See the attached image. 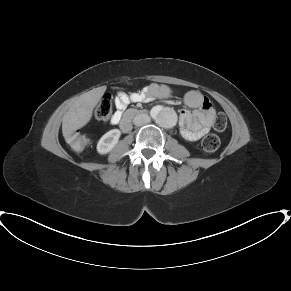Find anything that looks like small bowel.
Wrapping results in <instances>:
<instances>
[{"label":"small bowel","mask_w":291,"mask_h":291,"mask_svg":"<svg viewBox=\"0 0 291 291\" xmlns=\"http://www.w3.org/2000/svg\"><path fill=\"white\" fill-rule=\"evenodd\" d=\"M173 90L166 85L152 84L145 92L132 93L130 96L121 95L116 99L117 110L111 120L120 121L129 101L142 102L156 98H170ZM184 103L191 110L180 112V127L182 136L190 141H197L208 133L215 116V109L210 101L198 90H190L184 96Z\"/></svg>","instance_id":"c3829d8e"}]
</instances>
